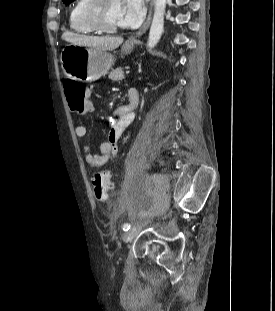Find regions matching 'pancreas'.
Returning <instances> with one entry per match:
<instances>
[{
    "label": "pancreas",
    "mask_w": 275,
    "mask_h": 311,
    "mask_svg": "<svg viewBox=\"0 0 275 311\" xmlns=\"http://www.w3.org/2000/svg\"><path fill=\"white\" fill-rule=\"evenodd\" d=\"M109 79L112 81H119L124 79V72L122 68H117L110 72Z\"/></svg>",
    "instance_id": "1"
}]
</instances>
